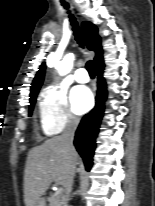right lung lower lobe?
<instances>
[{
  "instance_id": "right-lung-lower-lobe-1",
  "label": "right lung lower lobe",
  "mask_w": 155,
  "mask_h": 206,
  "mask_svg": "<svg viewBox=\"0 0 155 206\" xmlns=\"http://www.w3.org/2000/svg\"><path fill=\"white\" fill-rule=\"evenodd\" d=\"M103 70L104 64L97 67L98 89L96 105L82 118L74 139V145L83 158L87 170H90L93 163V155L96 147L95 139L104 112V101L107 97L106 84L102 75Z\"/></svg>"
}]
</instances>
